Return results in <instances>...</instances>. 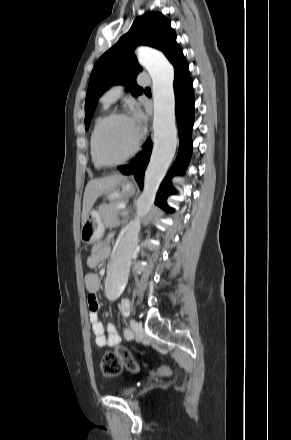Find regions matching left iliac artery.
I'll use <instances>...</instances> for the list:
<instances>
[{"mask_svg":"<svg viewBox=\"0 0 291 440\" xmlns=\"http://www.w3.org/2000/svg\"><path fill=\"white\" fill-rule=\"evenodd\" d=\"M124 335H125V337L127 338V339H131L133 336H132V334H131V332L129 331V330H125L124 331Z\"/></svg>","mask_w":291,"mask_h":440,"instance_id":"obj_1","label":"left iliac artery"}]
</instances>
